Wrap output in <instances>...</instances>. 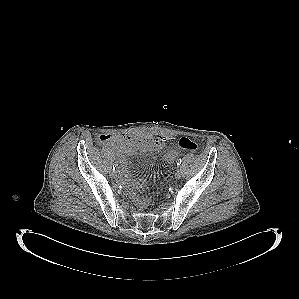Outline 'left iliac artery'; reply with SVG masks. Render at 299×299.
I'll return each instance as SVG.
<instances>
[{
    "label": "left iliac artery",
    "mask_w": 299,
    "mask_h": 299,
    "mask_svg": "<svg viewBox=\"0 0 299 299\" xmlns=\"http://www.w3.org/2000/svg\"><path fill=\"white\" fill-rule=\"evenodd\" d=\"M181 162H182L181 159H178V160L176 161V163H177L178 166L181 165Z\"/></svg>",
    "instance_id": "44dca946"
}]
</instances>
